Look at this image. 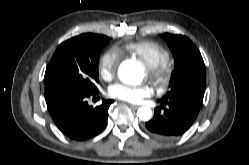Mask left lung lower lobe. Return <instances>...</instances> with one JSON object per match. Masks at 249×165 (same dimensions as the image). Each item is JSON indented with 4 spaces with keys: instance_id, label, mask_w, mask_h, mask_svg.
<instances>
[{
    "instance_id": "left-lung-lower-lobe-1",
    "label": "left lung lower lobe",
    "mask_w": 249,
    "mask_h": 165,
    "mask_svg": "<svg viewBox=\"0 0 249 165\" xmlns=\"http://www.w3.org/2000/svg\"><path fill=\"white\" fill-rule=\"evenodd\" d=\"M203 97L195 94H180L163 98L154 117L145 125L147 130L163 140L174 139L186 132L195 121Z\"/></svg>"
}]
</instances>
